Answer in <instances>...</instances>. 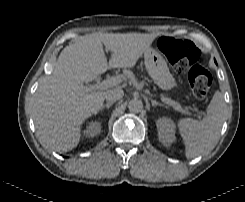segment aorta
I'll return each mask as SVG.
<instances>
[{
	"mask_svg": "<svg viewBox=\"0 0 245 202\" xmlns=\"http://www.w3.org/2000/svg\"><path fill=\"white\" fill-rule=\"evenodd\" d=\"M143 108V103L140 99H132L128 103V109L131 112L139 113Z\"/></svg>",
	"mask_w": 245,
	"mask_h": 202,
	"instance_id": "1",
	"label": "aorta"
}]
</instances>
